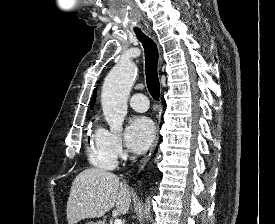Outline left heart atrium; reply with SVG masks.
<instances>
[{"instance_id":"39dd6f15","label":"left heart atrium","mask_w":275,"mask_h":224,"mask_svg":"<svg viewBox=\"0 0 275 224\" xmlns=\"http://www.w3.org/2000/svg\"><path fill=\"white\" fill-rule=\"evenodd\" d=\"M155 137V126L152 120L145 116L131 119L126 130L127 146L135 153H142L148 149Z\"/></svg>"}]
</instances>
